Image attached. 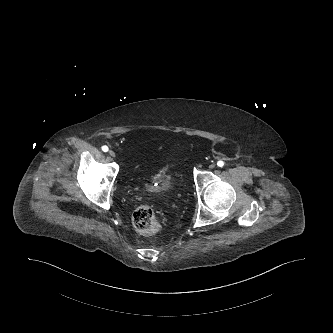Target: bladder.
I'll list each match as a JSON object with an SVG mask.
<instances>
[{
    "mask_svg": "<svg viewBox=\"0 0 333 333\" xmlns=\"http://www.w3.org/2000/svg\"><path fill=\"white\" fill-rule=\"evenodd\" d=\"M157 181L159 186L166 191L171 190L175 186L173 178L169 174H160L157 178Z\"/></svg>",
    "mask_w": 333,
    "mask_h": 333,
    "instance_id": "1",
    "label": "bladder"
}]
</instances>
